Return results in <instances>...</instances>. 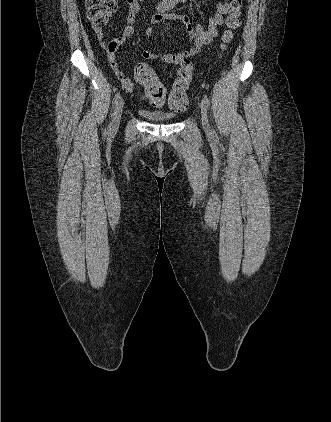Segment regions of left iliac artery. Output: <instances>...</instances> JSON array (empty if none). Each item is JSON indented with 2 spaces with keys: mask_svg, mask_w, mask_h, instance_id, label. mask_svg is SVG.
Here are the masks:
<instances>
[{
  "mask_svg": "<svg viewBox=\"0 0 331 422\" xmlns=\"http://www.w3.org/2000/svg\"><path fill=\"white\" fill-rule=\"evenodd\" d=\"M203 101H204V103H205V106H206L207 108H209V106H210V100H209V98H208L206 95H204V99H203Z\"/></svg>",
  "mask_w": 331,
  "mask_h": 422,
  "instance_id": "left-iliac-artery-1",
  "label": "left iliac artery"
}]
</instances>
